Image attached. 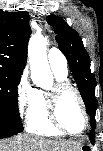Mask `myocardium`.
<instances>
[{"label":"myocardium","instance_id":"myocardium-1","mask_svg":"<svg viewBox=\"0 0 103 151\" xmlns=\"http://www.w3.org/2000/svg\"><path fill=\"white\" fill-rule=\"evenodd\" d=\"M67 92H72L73 94H75V96L77 97V99L82 107V111H83V115H84V127L79 132H72L67 127H65L61 123L59 116H58V107H59L60 98L62 97L63 94H65ZM46 100H47V116H48V120L53 128H55L56 130H58L64 134H68V135H72V136H79L86 132V130L89 127V121H90L89 113L87 110L86 103L77 88L73 87L72 85H70L67 82L57 81L46 92Z\"/></svg>","mask_w":103,"mask_h":151}]
</instances>
